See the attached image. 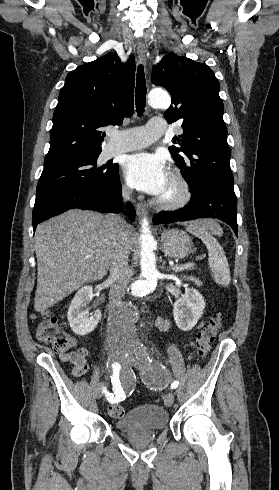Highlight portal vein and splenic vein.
Segmentation results:
<instances>
[{"label":"portal vein and splenic vein","instance_id":"obj_1","mask_svg":"<svg viewBox=\"0 0 279 490\" xmlns=\"http://www.w3.org/2000/svg\"><path fill=\"white\" fill-rule=\"evenodd\" d=\"M194 264H183V266H174L172 268L173 272H181V270H188V268H193Z\"/></svg>","mask_w":279,"mask_h":490}]
</instances>
